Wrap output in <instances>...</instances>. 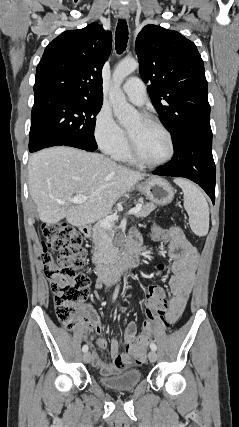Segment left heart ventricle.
<instances>
[{
	"mask_svg": "<svg viewBox=\"0 0 239 427\" xmlns=\"http://www.w3.org/2000/svg\"><path fill=\"white\" fill-rule=\"evenodd\" d=\"M139 154L147 161L159 162L170 152L167 136L157 127L136 116L127 126Z\"/></svg>",
	"mask_w": 239,
	"mask_h": 427,
	"instance_id": "obj_1",
	"label": "left heart ventricle"
}]
</instances>
